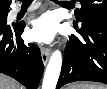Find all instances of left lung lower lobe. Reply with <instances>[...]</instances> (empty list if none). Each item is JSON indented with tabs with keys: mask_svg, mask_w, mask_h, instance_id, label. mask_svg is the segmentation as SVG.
<instances>
[{
	"mask_svg": "<svg viewBox=\"0 0 107 89\" xmlns=\"http://www.w3.org/2000/svg\"><path fill=\"white\" fill-rule=\"evenodd\" d=\"M74 26L84 42L69 37L57 89L75 81L107 84V18H87L81 29Z\"/></svg>",
	"mask_w": 107,
	"mask_h": 89,
	"instance_id": "left-lung-lower-lobe-1",
	"label": "left lung lower lobe"
}]
</instances>
